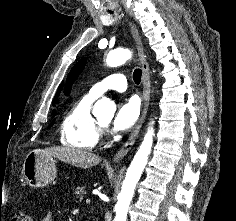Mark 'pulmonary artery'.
Segmentation results:
<instances>
[{
  "label": "pulmonary artery",
  "instance_id": "pulmonary-artery-1",
  "mask_svg": "<svg viewBox=\"0 0 236 221\" xmlns=\"http://www.w3.org/2000/svg\"><path fill=\"white\" fill-rule=\"evenodd\" d=\"M127 89V79L124 74L117 72L96 83L89 91V95L97 98L109 90L123 92Z\"/></svg>",
  "mask_w": 236,
  "mask_h": 221
}]
</instances>
